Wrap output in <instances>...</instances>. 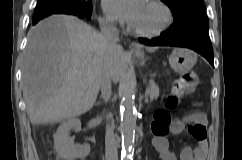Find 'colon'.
Masks as SVG:
<instances>
[{
	"instance_id": "colon-1",
	"label": "colon",
	"mask_w": 242,
	"mask_h": 160,
	"mask_svg": "<svg viewBox=\"0 0 242 160\" xmlns=\"http://www.w3.org/2000/svg\"><path fill=\"white\" fill-rule=\"evenodd\" d=\"M196 84L197 75L194 72H190L176 79L166 99L167 107L170 109L176 108L180 104L182 97L192 91ZM171 120L172 118L167 111L161 110L157 112L152 123V131L158 134L166 133ZM193 131L194 137L197 139H200L204 136L200 125H196L193 128Z\"/></svg>"
}]
</instances>
